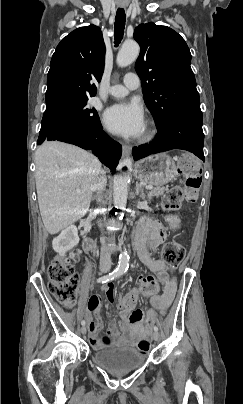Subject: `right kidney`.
Returning <instances> with one entry per match:
<instances>
[{
  "mask_svg": "<svg viewBox=\"0 0 243 404\" xmlns=\"http://www.w3.org/2000/svg\"><path fill=\"white\" fill-rule=\"evenodd\" d=\"M78 244V230L76 226H69L66 230H62L57 238H54L52 248L54 252H58L60 256H64L68 250H72V248H75Z\"/></svg>",
  "mask_w": 243,
  "mask_h": 404,
  "instance_id": "1",
  "label": "right kidney"
}]
</instances>
